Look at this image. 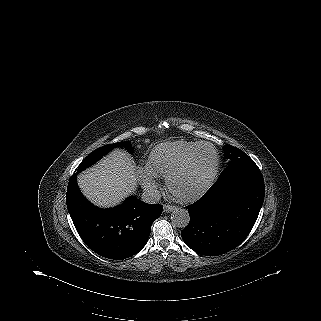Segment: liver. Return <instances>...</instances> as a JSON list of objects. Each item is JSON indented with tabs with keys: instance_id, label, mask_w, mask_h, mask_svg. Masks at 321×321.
<instances>
[{
	"instance_id": "obj_1",
	"label": "liver",
	"mask_w": 321,
	"mask_h": 321,
	"mask_svg": "<svg viewBox=\"0 0 321 321\" xmlns=\"http://www.w3.org/2000/svg\"><path fill=\"white\" fill-rule=\"evenodd\" d=\"M78 185L93 204L113 207L136 190V166L128 153L117 149L79 174Z\"/></svg>"
}]
</instances>
